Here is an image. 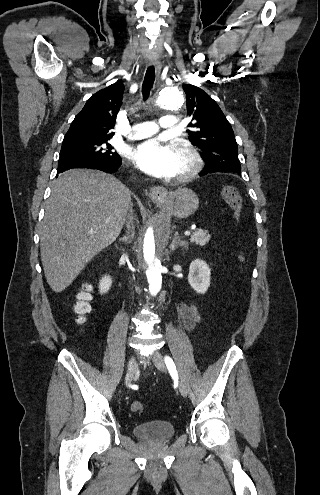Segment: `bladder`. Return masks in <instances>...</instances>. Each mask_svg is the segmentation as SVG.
<instances>
[{"instance_id": "1", "label": "bladder", "mask_w": 320, "mask_h": 495, "mask_svg": "<svg viewBox=\"0 0 320 495\" xmlns=\"http://www.w3.org/2000/svg\"><path fill=\"white\" fill-rule=\"evenodd\" d=\"M134 434L143 440L163 442L175 435L173 423L164 420H154L139 423L133 428Z\"/></svg>"}]
</instances>
